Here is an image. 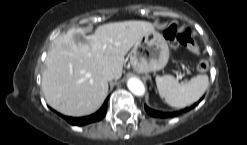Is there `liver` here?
I'll list each match as a JSON object with an SVG mask.
<instances>
[{
    "instance_id": "liver-1",
    "label": "liver",
    "mask_w": 247,
    "mask_h": 145,
    "mask_svg": "<svg viewBox=\"0 0 247 145\" xmlns=\"http://www.w3.org/2000/svg\"><path fill=\"white\" fill-rule=\"evenodd\" d=\"M153 31L152 23L131 20L100 25L92 35L81 28H71L56 37L42 76L47 103L68 116L97 111L108 93V80L102 71L108 68L114 79L121 78L124 56Z\"/></svg>"
}]
</instances>
